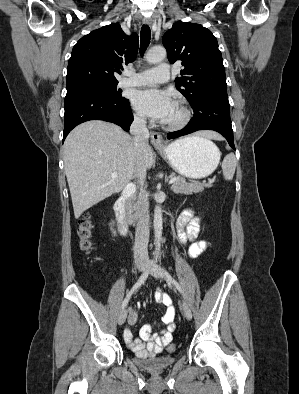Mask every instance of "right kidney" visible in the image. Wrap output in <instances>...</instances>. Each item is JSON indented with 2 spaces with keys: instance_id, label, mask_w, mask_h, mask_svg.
Listing matches in <instances>:
<instances>
[{
  "instance_id": "right-kidney-1",
  "label": "right kidney",
  "mask_w": 299,
  "mask_h": 394,
  "mask_svg": "<svg viewBox=\"0 0 299 394\" xmlns=\"http://www.w3.org/2000/svg\"><path fill=\"white\" fill-rule=\"evenodd\" d=\"M112 229V228H111ZM114 235H116V231H113Z\"/></svg>"
}]
</instances>
